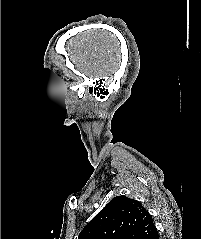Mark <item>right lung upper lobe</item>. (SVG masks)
<instances>
[{"instance_id": "obj_1", "label": "right lung upper lobe", "mask_w": 201, "mask_h": 239, "mask_svg": "<svg viewBox=\"0 0 201 239\" xmlns=\"http://www.w3.org/2000/svg\"><path fill=\"white\" fill-rule=\"evenodd\" d=\"M152 216L137 200L116 196L83 228L78 239H157Z\"/></svg>"}]
</instances>
